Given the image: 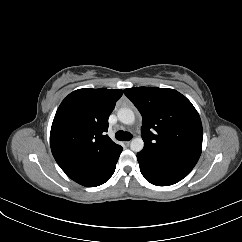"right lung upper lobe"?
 Here are the masks:
<instances>
[{
    "instance_id": "cb5924a9",
    "label": "right lung upper lobe",
    "mask_w": 242,
    "mask_h": 242,
    "mask_svg": "<svg viewBox=\"0 0 242 242\" xmlns=\"http://www.w3.org/2000/svg\"><path fill=\"white\" fill-rule=\"evenodd\" d=\"M122 90L78 89L70 93L55 114L50 145L61 169L75 179L120 145L106 132L108 118Z\"/></svg>"
}]
</instances>
